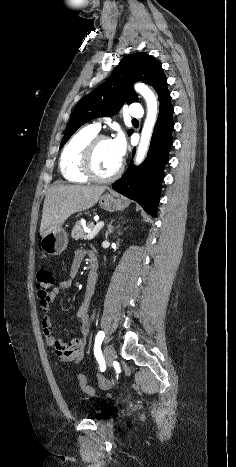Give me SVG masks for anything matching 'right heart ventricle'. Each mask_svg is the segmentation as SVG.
<instances>
[{"mask_svg": "<svg viewBox=\"0 0 236 467\" xmlns=\"http://www.w3.org/2000/svg\"><path fill=\"white\" fill-rule=\"evenodd\" d=\"M97 135L90 126L84 127L72 136L60 156V171L69 182L83 183L89 178L81 170V156L86 144Z\"/></svg>", "mask_w": 236, "mask_h": 467, "instance_id": "1", "label": "right heart ventricle"}]
</instances>
